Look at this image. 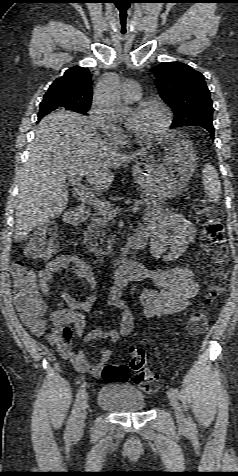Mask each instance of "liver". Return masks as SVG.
I'll list each match as a JSON object with an SVG mask.
<instances>
[{
  "label": "liver",
  "instance_id": "1",
  "mask_svg": "<svg viewBox=\"0 0 238 476\" xmlns=\"http://www.w3.org/2000/svg\"><path fill=\"white\" fill-rule=\"evenodd\" d=\"M118 153L85 116L64 110L45 116L35 129L29 159L20 174L16 199L15 241L60 215L68 203L66 178L86 177L103 192L114 180L113 169L140 156Z\"/></svg>",
  "mask_w": 238,
  "mask_h": 476
}]
</instances>
